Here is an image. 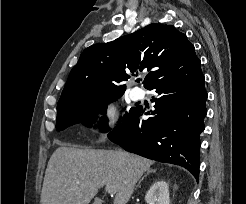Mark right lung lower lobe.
Instances as JSON below:
<instances>
[{
  "instance_id": "98d812e1",
  "label": "right lung lower lobe",
  "mask_w": 246,
  "mask_h": 204,
  "mask_svg": "<svg viewBox=\"0 0 246 204\" xmlns=\"http://www.w3.org/2000/svg\"><path fill=\"white\" fill-rule=\"evenodd\" d=\"M200 60L173 71L150 85L158 94L152 117L142 120L140 107L108 134L123 149L160 162L180 165L199 176V135L207 114L205 78ZM149 114V112L145 113Z\"/></svg>"
}]
</instances>
